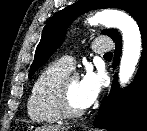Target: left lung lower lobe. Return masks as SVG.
I'll list each match as a JSON object with an SVG mask.
<instances>
[{
	"label": "left lung lower lobe",
	"instance_id": "obj_1",
	"mask_svg": "<svg viewBox=\"0 0 147 131\" xmlns=\"http://www.w3.org/2000/svg\"><path fill=\"white\" fill-rule=\"evenodd\" d=\"M143 41L141 63L135 81L125 90L119 89L117 76L111 91L103 99L96 128L107 131H147V20L140 26ZM113 66L119 63L121 39L116 40Z\"/></svg>",
	"mask_w": 147,
	"mask_h": 131
}]
</instances>
